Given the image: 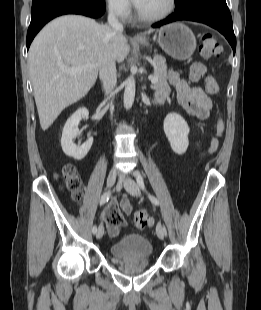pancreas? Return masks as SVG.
Wrapping results in <instances>:
<instances>
[{"instance_id": "1", "label": "pancreas", "mask_w": 261, "mask_h": 310, "mask_svg": "<svg viewBox=\"0 0 261 310\" xmlns=\"http://www.w3.org/2000/svg\"><path fill=\"white\" fill-rule=\"evenodd\" d=\"M152 64L154 66V76L158 78V82L154 85V88L165 85L167 83V65L165 60L160 57H155Z\"/></svg>"}]
</instances>
